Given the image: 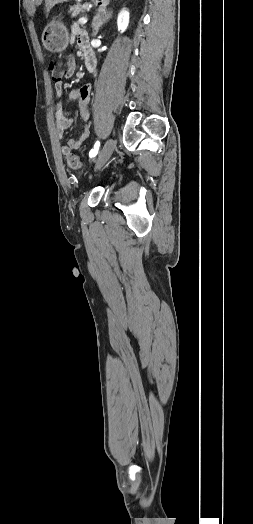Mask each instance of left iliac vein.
Returning <instances> with one entry per match:
<instances>
[{
	"mask_svg": "<svg viewBox=\"0 0 253 524\" xmlns=\"http://www.w3.org/2000/svg\"><path fill=\"white\" fill-rule=\"evenodd\" d=\"M114 148H115V141L113 139H108L100 154H99V157L96 161V169H99L101 168L106 162L107 160L110 158V156L112 155L113 151H114Z\"/></svg>",
	"mask_w": 253,
	"mask_h": 524,
	"instance_id": "1",
	"label": "left iliac vein"
}]
</instances>
